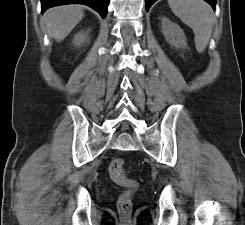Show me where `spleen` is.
I'll list each match as a JSON object with an SVG mask.
<instances>
[{
	"label": "spleen",
	"instance_id": "3e777b00",
	"mask_svg": "<svg viewBox=\"0 0 245 225\" xmlns=\"http://www.w3.org/2000/svg\"><path fill=\"white\" fill-rule=\"evenodd\" d=\"M172 12L187 24L195 34V46L203 53L213 31L215 16L203 0H168Z\"/></svg>",
	"mask_w": 245,
	"mask_h": 225
}]
</instances>
